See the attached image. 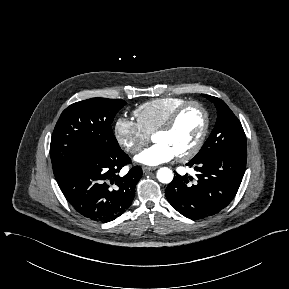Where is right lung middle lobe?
Segmentation results:
<instances>
[{
	"label": "right lung middle lobe",
	"instance_id": "dd1d6c3e",
	"mask_svg": "<svg viewBox=\"0 0 289 289\" xmlns=\"http://www.w3.org/2000/svg\"><path fill=\"white\" fill-rule=\"evenodd\" d=\"M125 105L121 99L91 98L74 103L62 112L50 145L55 177L87 154L110 156L122 151L111 123Z\"/></svg>",
	"mask_w": 289,
	"mask_h": 289
}]
</instances>
